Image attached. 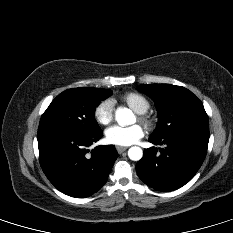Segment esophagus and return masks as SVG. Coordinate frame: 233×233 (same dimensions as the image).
Segmentation results:
<instances>
[{
	"label": "esophagus",
	"mask_w": 233,
	"mask_h": 233,
	"mask_svg": "<svg viewBox=\"0 0 233 233\" xmlns=\"http://www.w3.org/2000/svg\"><path fill=\"white\" fill-rule=\"evenodd\" d=\"M116 149H117L118 153H122V152H124V151H126V150H127V147H123V146H116Z\"/></svg>",
	"instance_id": "1"
}]
</instances>
